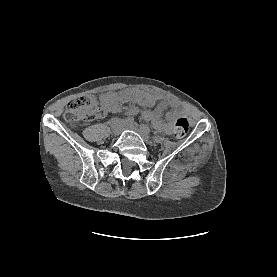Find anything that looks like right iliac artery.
I'll return each mask as SVG.
<instances>
[{
  "mask_svg": "<svg viewBox=\"0 0 277 277\" xmlns=\"http://www.w3.org/2000/svg\"><path fill=\"white\" fill-rule=\"evenodd\" d=\"M126 122L129 123V124H133V123H134V118L131 117V116H128V117L126 118Z\"/></svg>",
  "mask_w": 277,
  "mask_h": 277,
  "instance_id": "obj_1",
  "label": "right iliac artery"
}]
</instances>
